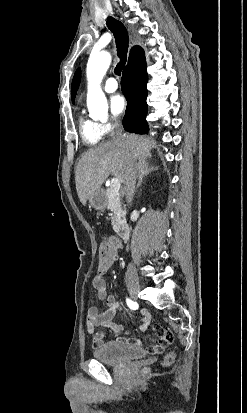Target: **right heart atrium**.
<instances>
[{
	"mask_svg": "<svg viewBox=\"0 0 247 413\" xmlns=\"http://www.w3.org/2000/svg\"><path fill=\"white\" fill-rule=\"evenodd\" d=\"M102 134H111L113 132V126L111 124H100L97 126Z\"/></svg>",
	"mask_w": 247,
	"mask_h": 413,
	"instance_id": "1",
	"label": "right heart atrium"
}]
</instances>
